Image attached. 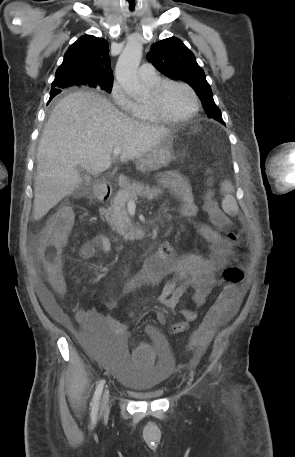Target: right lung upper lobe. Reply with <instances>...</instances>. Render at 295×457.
<instances>
[{"label": "right lung upper lobe", "instance_id": "right-lung-upper-lobe-1", "mask_svg": "<svg viewBox=\"0 0 295 457\" xmlns=\"http://www.w3.org/2000/svg\"><path fill=\"white\" fill-rule=\"evenodd\" d=\"M109 82L113 83V74L108 42L92 35H84L66 51L64 60L56 71L52 90L66 88L68 84L90 87Z\"/></svg>", "mask_w": 295, "mask_h": 457}]
</instances>
